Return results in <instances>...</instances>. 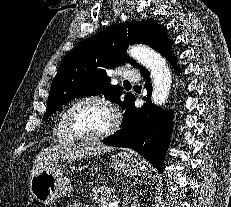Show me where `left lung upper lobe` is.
I'll return each mask as SVG.
<instances>
[{
	"instance_id": "5c2ea615",
	"label": "left lung upper lobe",
	"mask_w": 231,
	"mask_h": 207,
	"mask_svg": "<svg viewBox=\"0 0 231 207\" xmlns=\"http://www.w3.org/2000/svg\"><path fill=\"white\" fill-rule=\"evenodd\" d=\"M166 33V27L149 19L109 27L81 42L59 65L51 84L43 119L69 100L86 95L103 94L106 99L127 110L135 97L128 93L122 101L120 96L123 89L120 86H110L107 71L125 62L143 69L136 61L127 57L126 47L142 43L161 53L171 44Z\"/></svg>"
}]
</instances>
